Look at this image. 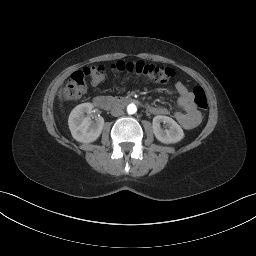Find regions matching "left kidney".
I'll use <instances>...</instances> for the list:
<instances>
[{
  "label": "left kidney",
  "instance_id": "obj_1",
  "mask_svg": "<svg viewBox=\"0 0 256 256\" xmlns=\"http://www.w3.org/2000/svg\"><path fill=\"white\" fill-rule=\"evenodd\" d=\"M161 123L166 124L167 129H162ZM152 128L157 140L164 144L177 143L184 137V132L180 125L168 116H155L153 118Z\"/></svg>",
  "mask_w": 256,
  "mask_h": 256
}]
</instances>
